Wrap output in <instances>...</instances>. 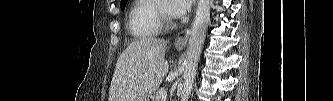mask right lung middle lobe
Listing matches in <instances>:
<instances>
[{"label":"right lung middle lobe","mask_w":333,"mask_h":101,"mask_svg":"<svg viewBox=\"0 0 333 101\" xmlns=\"http://www.w3.org/2000/svg\"><path fill=\"white\" fill-rule=\"evenodd\" d=\"M126 2H127V1H126ZM126 2L123 3V4H121V9H122V11H124V8H125V6H126Z\"/></svg>","instance_id":"dd1d6c3e"}]
</instances>
